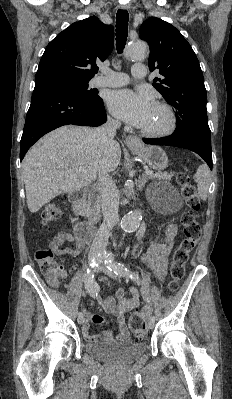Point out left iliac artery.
<instances>
[{
	"label": "left iliac artery",
	"mask_w": 232,
	"mask_h": 399,
	"mask_svg": "<svg viewBox=\"0 0 232 399\" xmlns=\"http://www.w3.org/2000/svg\"><path fill=\"white\" fill-rule=\"evenodd\" d=\"M115 257H116V254H114V253L108 254V256H107V258H106V260H105V264H106L107 268H108L110 271H113V272H114L115 274H117V275H127V276H129L133 281L138 282V276H137V274L132 273V272L129 270V268H128L127 266H125L124 264L115 262ZM151 319L154 320V319H155V316L152 315V316H151Z\"/></svg>",
	"instance_id": "obj_1"
}]
</instances>
